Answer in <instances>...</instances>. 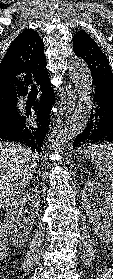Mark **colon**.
Instances as JSON below:
<instances>
[{
  "mask_svg": "<svg viewBox=\"0 0 113 279\" xmlns=\"http://www.w3.org/2000/svg\"><path fill=\"white\" fill-rule=\"evenodd\" d=\"M4 249V232L0 226V252Z\"/></svg>",
  "mask_w": 113,
  "mask_h": 279,
  "instance_id": "obj_1",
  "label": "colon"
}]
</instances>
